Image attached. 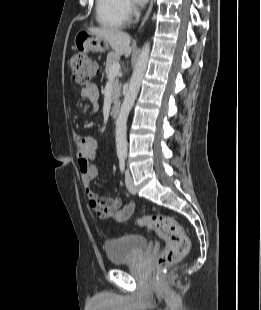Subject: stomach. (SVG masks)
<instances>
[{
  "instance_id": "stomach-1",
  "label": "stomach",
  "mask_w": 261,
  "mask_h": 310,
  "mask_svg": "<svg viewBox=\"0 0 261 310\" xmlns=\"http://www.w3.org/2000/svg\"><path fill=\"white\" fill-rule=\"evenodd\" d=\"M74 44L77 49L92 52H104L108 49L107 41L88 31L79 32L75 37Z\"/></svg>"
}]
</instances>
